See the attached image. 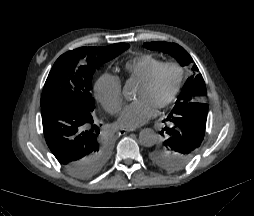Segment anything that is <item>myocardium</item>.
I'll return each mask as SVG.
<instances>
[{"label":"myocardium","mask_w":254,"mask_h":216,"mask_svg":"<svg viewBox=\"0 0 254 216\" xmlns=\"http://www.w3.org/2000/svg\"><path fill=\"white\" fill-rule=\"evenodd\" d=\"M165 69H173L176 74V79H175V84L173 86V89L169 96L159 103L156 107L158 109H163L168 107L176 98V96L179 93V90L181 88V84L183 81V75H184V70L183 67L175 61H167L163 62L159 67H157L145 80H143L140 85L144 87H151L154 85L156 80L158 79L159 75L165 70Z\"/></svg>","instance_id":"obj_1"}]
</instances>
